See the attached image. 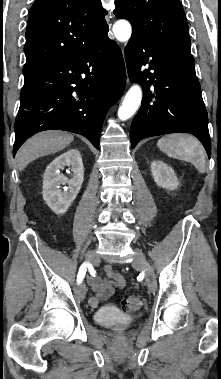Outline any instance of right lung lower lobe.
I'll use <instances>...</instances> for the list:
<instances>
[{
    "label": "right lung lower lobe",
    "mask_w": 221,
    "mask_h": 379,
    "mask_svg": "<svg viewBox=\"0 0 221 379\" xmlns=\"http://www.w3.org/2000/svg\"><path fill=\"white\" fill-rule=\"evenodd\" d=\"M23 73L13 156L30 136L49 129L81 134L99 149L105 115L126 83L121 50L108 33L83 50Z\"/></svg>",
    "instance_id": "1"
}]
</instances>
